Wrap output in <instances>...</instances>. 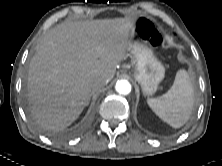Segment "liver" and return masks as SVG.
I'll return each instance as SVG.
<instances>
[{"mask_svg": "<svg viewBox=\"0 0 222 166\" xmlns=\"http://www.w3.org/2000/svg\"><path fill=\"white\" fill-rule=\"evenodd\" d=\"M135 21L65 22L41 37L30 62L28 98L43 129L64 130L89 104L93 83L112 80L132 50Z\"/></svg>", "mask_w": 222, "mask_h": 166, "instance_id": "obj_1", "label": "liver"}]
</instances>
